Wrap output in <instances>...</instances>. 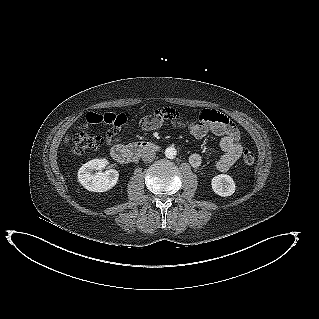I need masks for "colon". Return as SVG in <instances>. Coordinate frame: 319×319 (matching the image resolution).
Listing matches in <instances>:
<instances>
[{"label":"colon","instance_id":"obj_1","mask_svg":"<svg viewBox=\"0 0 319 319\" xmlns=\"http://www.w3.org/2000/svg\"><path fill=\"white\" fill-rule=\"evenodd\" d=\"M103 121L119 128L128 125L131 121V117L127 112L106 113L103 115ZM101 144L102 138L100 136L79 132L71 137L70 150L72 154L80 155L98 148ZM242 158L246 164H252L255 161V154L250 149L246 148L243 150Z\"/></svg>","mask_w":319,"mask_h":319}]
</instances>
